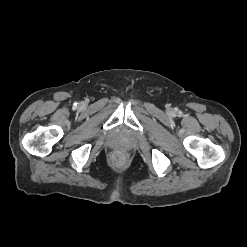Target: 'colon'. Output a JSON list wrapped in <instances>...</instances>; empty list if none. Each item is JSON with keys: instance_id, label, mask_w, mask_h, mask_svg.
I'll list each match as a JSON object with an SVG mask.
<instances>
[{"instance_id": "5ec220e1", "label": "colon", "mask_w": 247, "mask_h": 247, "mask_svg": "<svg viewBox=\"0 0 247 247\" xmlns=\"http://www.w3.org/2000/svg\"><path fill=\"white\" fill-rule=\"evenodd\" d=\"M124 161V157L121 153L119 152H115L113 155H112V162L115 164V165H121Z\"/></svg>"}]
</instances>
